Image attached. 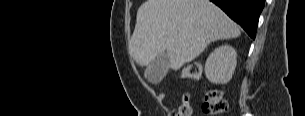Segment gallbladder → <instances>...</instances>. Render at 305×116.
I'll return each mask as SVG.
<instances>
[{"label": "gallbladder", "mask_w": 305, "mask_h": 116, "mask_svg": "<svg viewBox=\"0 0 305 116\" xmlns=\"http://www.w3.org/2000/svg\"><path fill=\"white\" fill-rule=\"evenodd\" d=\"M170 66L169 56L166 52L159 54L145 70V78L151 84H158L166 76Z\"/></svg>", "instance_id": "1"}]
</instances>
